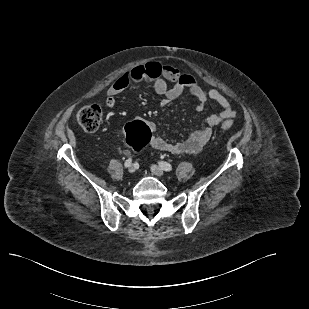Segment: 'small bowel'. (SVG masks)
Segmentation results:
<instances>
[{
	"instance_id": "small-bowel-1",
	"label": "small bowel",
	"mask_w": 309,
	"mask_h": 309,
	"mask_svg": "<svg viewBox=\"0 0 309 309\" xmlns=\"http://www.w3.org/2000/svg\"><path fill=\"white\" fill-rule=\"evenodd\" d=\"M141 81L151 83L154 92L163 96V103L165 104L178 98L184 92H188L197 100V111H202L208 100L216 102L221 107V111L209 116L201 128L192 131L185 140L175 143H170L156 135L154 123L145 122L152 133L149 144L157 150L172 154H196L210 140L214 127L223 121H231L236 116V111L232 108L229 100L217 89L205 90L194 76L181 74L178 69L172 66L161 65L156 62L136 66L116 79L106 92L105 103L107 107H115L116 97L131 83ZM168 82H171L172 85H169Z\"/></svg>"
}]
</instances>
